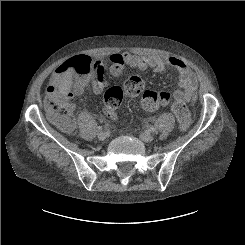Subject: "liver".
<instances>
[{
	"label": "liver",
	"instance_id": "obj_1",
	"mask_svg": "<svg viewBox=\"0 0 245 245\" xmlns=\"http://www.w3.org/2000/svg\"><path fill=\"white\" fill-rule=\"evenodd\" d=\"M70 78H71V72L67 73V75L64 79L61 91H66L70 88V84H71Z\"/></svg>",
	"mask_w": 245,
	"mask_h": 245
}]
</instances>
